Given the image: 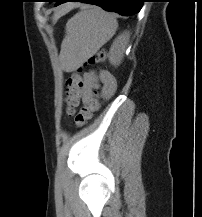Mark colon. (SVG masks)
I'll return each instance as SVG.
<instances>
[{"mask_svg": "<svg viewBox=\"0 0 202 217\" xmlns=\"http://www.w3.org/2000/svg\"><path fill=\"white\" fill-rule=\"evenodd\" d=\"M106 60V52L104 50L94 53L89 58L91 64H101ZM83 91V77L81 75V68L79 67L66 82V114L72 116L79 107ZM99 108V101L94 97L86 106L80 108L75 114V124L77 127L84 126L92 117L93 112Z\"/></svg>", "mask_w": 202, "mask_h": 217, "instance_id": "5ec220e1", "label": "colon"}]
</instances>
